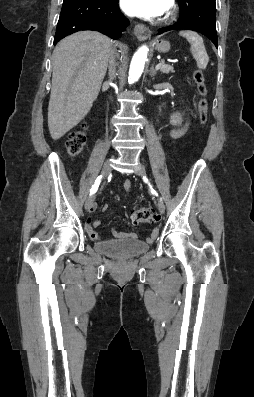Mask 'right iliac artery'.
<instances>
[{
	"mask_svg": "<svg viewBox=\"0 0 254 397\" xmlns=\"http://www.w3.org/2000/svg\"><path fill=\"white\" fill-rule=\"evenodd\" d=\"M101 179H102V176L100 175V176L95 180V183H94V185L92 186V189L90 190V195L94 194V193L97 191V189H98V187H99V185H100Z\"/></svg>",
	"mask_w": 254,
	"mask_h": 397,
	"instance_id": "right-iliac-artery-1",
	"label": "right iliac artery"
}]
</instances>
